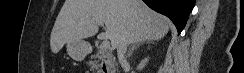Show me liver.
<instances>
[{
    "instance_id": "liver-1",
    "label": "liver",
    "mask_w": 244,
    "mask_h": 73,
    "mask_svg": "<svg viewBox=\"0 0 244 73\" xmlns=\"http://www.w3.org/2000/svg\"><path fill=\"white\" fill-rule=\"evenodd\" d=\"M95 19L106 25L99 39H110L112 49L126 38L128 44L162 39L171 22L141 0H65L51 32L50 46L58 53L65 43L94 36Z\"/></svg>"
}]
</instances>
